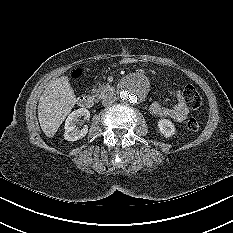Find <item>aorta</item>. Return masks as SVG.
<instances>
[{
    "mask_svg": "<svg viewBox=\"0 0 233 233\" xmlns=\"http://www.w3.org/2000/svg\"><path fill=\"white\" fill-rule=\"evenodd\" d=\"M147 94V85L139 77L127 78L120 87L119 98L125 104H136L141 102Z\"/></svg>",
    "mask_w": 233,
    "mask_h": 233,
    "instance_id": "obj_1",
    "label": "aorta"
}]
</instances>
